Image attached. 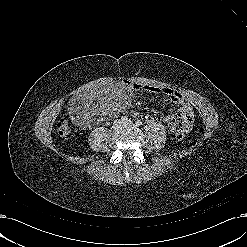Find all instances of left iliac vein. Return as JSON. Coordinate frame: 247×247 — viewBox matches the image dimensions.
Segmentation results:
<instances>
[{
  "label": "left iliac vein",
  "instance_id": "obj_1",
  "mask_svg": "<svg viewBox=\"0 0 247 247\" xmlns=\"http://www.w3.org/2000/svg\"><path fill=\"white\" fill-rule=\"evenodd\" d=\"M124 125H132L131 121L124 122Z\"/></svg>",
  "mask_w": 247,
  "mask_h": 247
}]
</instances>
